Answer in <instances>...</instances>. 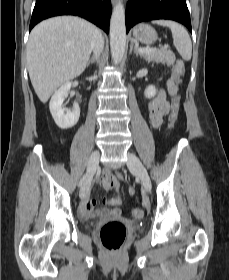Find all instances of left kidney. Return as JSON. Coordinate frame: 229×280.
Masks as SVG:
<instances>
[{
    "label": "left kidney",
    "mask_w": 229,
    "mask_h": 280,
    "mask_svg": "<svg viewBox=\"0 0 229 280\" xmlns=\"http://www.w3.org/2000/svg\"><path fill=\"white\" fill-rule=\"evenodd\" d=\"M156 94V88L153 85L148 86L145 89L144 95L146 98H152Z\"/></svg>",
    "instance_id": "left-kidney-1"
}]
</instances>
